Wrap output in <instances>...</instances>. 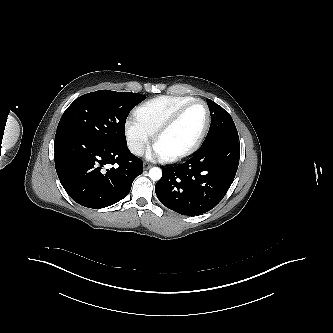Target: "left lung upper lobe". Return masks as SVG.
Here are the masks:
<instances>
[{
    "label": "left lung upper lobe",
    "instance_id": "5c2ea615",
    "mask_svg": "<svg viewBox=\"0 0 333 333\" xmlns=\"http://www.w3.org/2000/svg\"><path fill=\"white\" fill-rule=\"evenodd\" d=\"M207 103L211 113V125L202 146L219 139H239L230 114L210 99H207Z\"/></svg>",
    "mask_w": 333,
    "mask_h": 333
}]
</instances>
